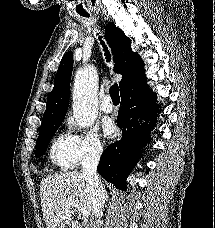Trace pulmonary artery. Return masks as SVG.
<instances>
[{"mask_svg": "<svg viewBox=\"0 0 215 228\" xmlns=\"http://www.w3.org/2000/svg\"><path fill=\"white\" fill-rule=\"evenodd\" d=\"M101 109L104 113H111L114 109L110 95H106L104 101L101 104Z\"/></svg>", "mask_w": 215, "mask_h": 228, "instance_id": "pulmonary-artery-1", "label": "pulmonary artery"}]
</instances>
